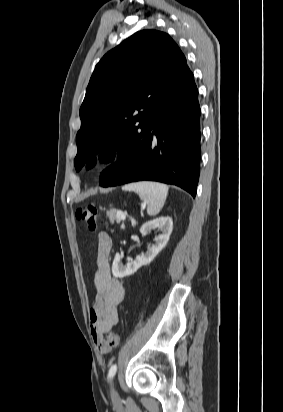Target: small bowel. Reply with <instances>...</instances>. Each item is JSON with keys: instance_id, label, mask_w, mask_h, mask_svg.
Here are the masks:
<instances>
[{"instance_id": "c3829d8e", "label": "small bowel", "mask_w": 283, "mask_h": 412, "mask_svg": "<svg viewBox=\"0 0 283 412\" xmlns=\"http://www.w3.org/2000/svg\"><path fill=\"white\" fill-rule=\"evenodd\" d=\"M111 250L112 238L109 234L101 232L98 235L94 275L95 297L89 309L90 333L101 349H103L101 343L104 334L110 331L118 321V307L125 296L123 284L110 272Z\"/></svg>"}]
</instances>
